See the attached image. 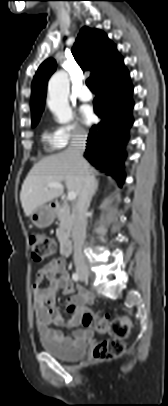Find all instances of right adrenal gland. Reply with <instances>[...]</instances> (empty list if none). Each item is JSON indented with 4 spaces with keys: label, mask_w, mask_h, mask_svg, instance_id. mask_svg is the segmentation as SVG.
I'll return each instance as SVG.
<instances>
[{
    "label": "right adrenal gland",
    "mask_w": 168,
    "mask_h": 406,
    "mask_svg": "<svg viewBox=\"0 0 168 406\" xmlns=\"http://www.w3.org/2000/svg\"><path fill=\"white\" fill-rule=\"evenodd\" d=\"M98 186H99V181L98 180H96V184H95V190H94V196H95V194H96V192H97V190H98Z\"/></svg>",
    "instance_id": "obj_1"
}]
</instances>
